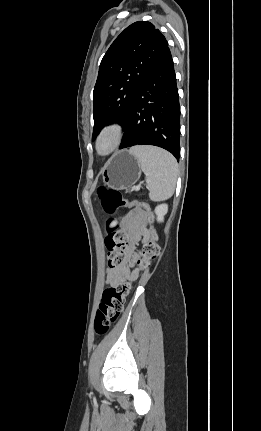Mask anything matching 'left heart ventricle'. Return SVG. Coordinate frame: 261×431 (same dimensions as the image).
Listing matches in <instances>:
<instances>
[{
    "label": "left heart ventricle",
    "mask_w": 261,
    "mask_h": 431,
    "mask_svg": "<svg viewBox=\"0 0 261 431\" xmlns=\"http://www.w3.org/2000/svg\"><path fill=\"white\" fill-rule=\"evenodd\" d=\"M106 145H107V143H106V142H104V143L102 144V147L104 148V147H106Z\"/></svg>",
    "instance_id": "left-heart-ventricle-1"
}]
</instances>
